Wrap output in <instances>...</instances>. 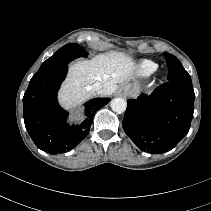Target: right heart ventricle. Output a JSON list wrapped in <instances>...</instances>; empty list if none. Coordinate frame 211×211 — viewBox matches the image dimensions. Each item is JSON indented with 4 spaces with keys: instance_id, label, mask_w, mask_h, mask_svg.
<instances>
[{
    "instance_id": "obj_1",
    "label": "right heart ventricle",
    "mask_w": 211,
    "mask_h": 211,
    "mask_svg": "<svg viewBox=\"0 0 211 211\" xmlns=\"http://www.w3.org/2000/svg\"><path fill=\"white\" fill-rule=\"evenodd\" d=\"M157 67L158 65L155 62L143 60L138 64L136 72L141 77H148L156 71Z\"/></svg>"
}]
</instances>
